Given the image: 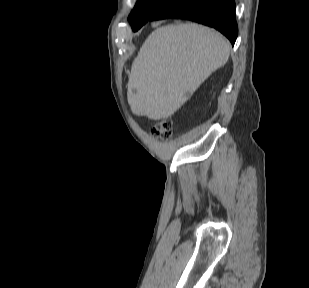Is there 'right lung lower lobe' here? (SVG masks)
Segmentation results:
<instances>
[{
	"label": "right lung lower lobe",
	"instance_id": "right-lung-lower-lobe-1",
	"mask_svg": "<svg viewBox=\"0 0 309 288\" xmlns=\"http://www.w3.org/2000/svg\"><path fill=\"white\" fill-rule=\"evenodd\" d=\"M178 18L195 21L219 30L234 45L238 27L234 0H176L150 20Z\"/></svg>",
	"mask_w": 309,
	"mask_h": 288
}]
</instances>
